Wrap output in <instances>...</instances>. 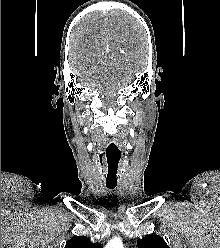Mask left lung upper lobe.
<instances>
[{
    "mask_svg": "<svg viewBox=\"0 0 220 248\" xmlns=\"http://www.w3.org/2000/svg\"><path fill=\"white\" fill-rule=\"evenodd\" d=\"M138 248H169L164 239L158 235H147L137 241Z\"/></svg>",
    "mask_w": 220,
    "mask_h": 248,
    "instance_id": "left-lung-upper-lobe-1",
    "label": "left lung upper lobe"
}]
</instances>
